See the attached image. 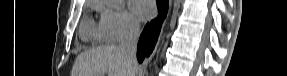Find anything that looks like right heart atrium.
Segmentation results:
<instances>
[{"mask_svg":"<svg viewBox=\"0 0 287 76\" xmlns=\"http://www.w3.org/2000/svg\"><path fill=\"white\" fill-rule=\"evenodd\" d=\"M96 7L101 15L100 27L106 41L117 43L139 32L138 20L114 1H98Z\"/></svg>","mask_w":287,"mask_h":76,"instance_id":"d8ad5b80","label":"right heart atrium"}]
</instances>
